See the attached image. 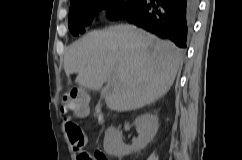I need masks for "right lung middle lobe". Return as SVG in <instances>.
I'll return each mask as SVG.
<instances>
[{"label":"right lung middle lobe","instance_id":"right-lung-middle-lobe-1","mask_svg":"<svg viewBox=\"0 0 242 160\" xmlns=\"http://www.w3.org/2000/svg\"><path fill=\"white\" fill-rule=\"evenodd\" d=\"M140 0H82L70 5L68 26L71 33L77 36L85 32L94 16L104 8H110L109 16L118 20L137 5Z\"/></svg>","mask_w":242,"mask_h":160}]
</instances>
